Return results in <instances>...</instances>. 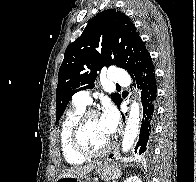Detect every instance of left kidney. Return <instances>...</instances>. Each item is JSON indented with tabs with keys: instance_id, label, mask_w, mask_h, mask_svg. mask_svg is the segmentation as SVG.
<instances>
[{
	"instance_id": "5707ae66",
	"label": "left kidney",
	"mask_w": 196,
	"mask_h": 182,
	"mask_svg": "<svg viewBox=\"0 0 196 182\" xmlns=\"http://www.w3.org/2000/svg\"><path fill=\"white\" fill-rule=\"evenodd\" d=\"M124 182H142L141 179L137 176H131L126 179Z\"/></svg>"
}]
</instances>
